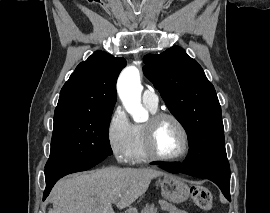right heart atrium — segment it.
<instances>
[{
    "mask_svg": "<svg viewBox=\"0 0 270 213\" xmlns=\"http://www.w3.org/2000/svg\"><path fill=\"white\" fill-rule=\"evenodd\" d=\"M132 129L133 125L123 108L115 107L107 127V140L113 155L120 162L129 160L133 138Z\"/></svg>",
    "mask_w": 270,
    "mask_h": 213,
    "instance_id": "obj_1",
    "label": "right heart atrium"
}]
</instances>
